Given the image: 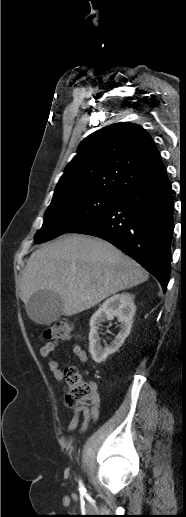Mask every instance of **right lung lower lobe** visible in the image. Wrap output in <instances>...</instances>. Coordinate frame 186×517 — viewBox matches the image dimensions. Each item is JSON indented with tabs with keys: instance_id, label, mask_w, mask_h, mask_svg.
Wrapping results in <instances>:
<instances>
[{
	"instance_id": "obj_1",
	"label": "right lung lower lobe",
	"mask_w": 186,
	"mask_h": 517,
	"mask_svg": "<svg viewBox=\"0 0 186 517\" xmlns=\"http://www.w3.org/2000/svg\"><path fill=\"white\" fill-rule=\"evenodd\" d=\"M171 183L163 178L135 187L105 211L68 233L102 238L129 255L167 289L173 223Z\"/></svg>"
}]
</instances>
